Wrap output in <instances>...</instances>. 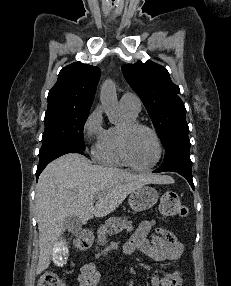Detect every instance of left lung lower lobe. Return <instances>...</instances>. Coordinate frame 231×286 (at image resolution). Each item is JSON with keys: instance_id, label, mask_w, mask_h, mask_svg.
<instances>
[{"instance_id": "0a47b994", "label": "left lung lower lobe", "mask_w": 231, "mask_h": 286, "mask_svg": "<svg viewBox=\"0 0 231 286\" xmlns=\"http://www.w3.org/2000/svg\"><path fill=\"white\" fill-rule=\"evenodd\" d=\"M166 153L162 166L154 173L172 171L187 179L194 189L192 180V162L190 160V141L188 135H181L171 139L165 146Z\"/></svg>"}]
</instances>
